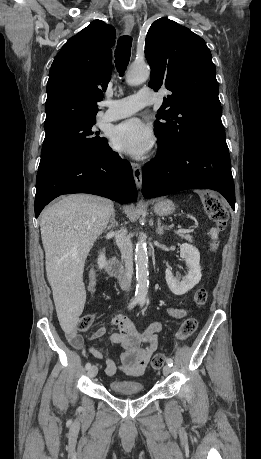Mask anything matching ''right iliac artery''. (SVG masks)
<instances>
[{
  "mask_svg": "<svg viewBox=\"0 0 261 459\" xmlns=\"http://www.w3.org/2000/svg\"><path fill=\"white\" fill-rule=\"evenodd\" d=\"M138 303V300H132L131 303L129 304L128 308L132 309L136 304ZM91 367L90 363H86L85 368L88 370Z\"/></svg>",
  "mask_w": 261,
  "mask_h": 459,
  "instance_id": "82829eb1",
  "label": "right iliac artery"
}]
</instances>
